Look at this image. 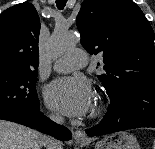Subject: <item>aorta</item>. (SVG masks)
<instances>
[{"label":"aorta","mask_w":155,"mask_h":149,"mask_svg":"<svg viewBox=\"0 0 155 149\" xmlns=\"http://www.w3.org/2000/svg\"><path fill=\"white\" fill-rule=\"evenodd\" d=\"M77 41V35L70 33L65 27H56L51 36L49 55L56 57L73 48Z\"/></svg>","instance_id":"762f6f07"}]
</instances>
